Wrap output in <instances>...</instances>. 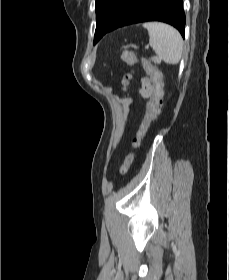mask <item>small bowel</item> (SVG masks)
<instances>
[{
  "instance_id": "1",
  "label": "small bowel",
  "mask_w": 229,
  "mask_h": 280,
  "mask_svg": "<svg viewBox=\"0 0 229 280\" xmlns=\"http://www.w3.org/2000/svg\"><path fill=\"white\" fill-rule=\"evenodd\" d=\"M149 65H151V64L148 63V62H145V63H144L145 71H146L148 74H149V71H148ZM126 81H127V80H125V82H126ZM140 93H141V95H142L143 97H145L144 92H143V88H141Z\"/></svg>"
}]
</instances>
